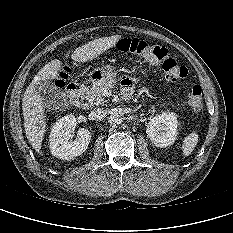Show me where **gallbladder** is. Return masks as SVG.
Masks as SVG:
<instances>
[{"label":"gallbladder","mask_w":233,"mask_h":233,"mask_svg":"<svg viewBox=\"0 0 233 233\" xmlns=\"http://www.w3.org/2000/svg\"><path fill=\"white\" fill-rule=\"evenodd\" d=\"M35 90L40 94L45 106L49 109H61L66 105L64 93L50 81H40Z\"/></svg>","instance_id":"gallbladder-1"}]
</instances>
